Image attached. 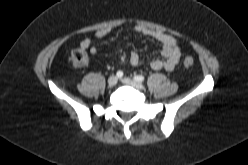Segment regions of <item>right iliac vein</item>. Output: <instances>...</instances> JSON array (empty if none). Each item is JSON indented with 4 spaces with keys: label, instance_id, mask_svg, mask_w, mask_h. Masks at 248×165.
<instances>
[{
    "label": "right iliac vein",
    "instance_id": "63e3f726",
    "mask_svg": "<svg viewBox=\"0 0 248 165\" xmlns=\"http://www.w3.org/2000/svg\"><path fill=\"white\" fill-rule=\"evenodd\" d=\"M118 82V79L116 76H110L109 79H108V85L110 87H114Z\"/></svg>",
    "mask_w": 248,
    "mask_h": 165
}]
</instances>
